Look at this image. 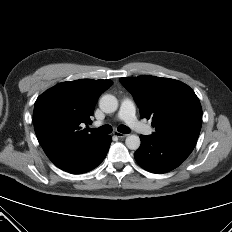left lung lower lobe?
<instances>
[{
  "instance_id": "0a47b994",
  "label": "left lung lower lobe",
  "mask_w": 232,
  "mask_h": 232,
  "mask_svg": "<svg viewBox=\"0 0 232 232\" xmlns=\"http://www.w3.org/2000/svg\"><path fill=\"white\" fill-rule=\"evenodd\" d=\"M135 159L145 170L162 174L178 167L192 152L197 138L187 136H140Z\"/></svg>"
}]
</instances>
